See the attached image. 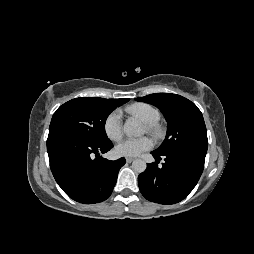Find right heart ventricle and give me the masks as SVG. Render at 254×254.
<instances>
[{
	"mask_svg": "<svg viewBox=\"0 0 254 254\" xmlns=\"http://www.w3.org/2000/svg\"><path fill=\"white\" fill-rule=\"evenodd\" d=\"M129 114L139 117L144 123H154L159 119V111L147 103H134L126 107Z\"/></svg>",
	"mask_w": 254,
	"mask_h": 254,
	"instance_id": "1",
	"label": "right heart ventricle"
}]
</instances>
